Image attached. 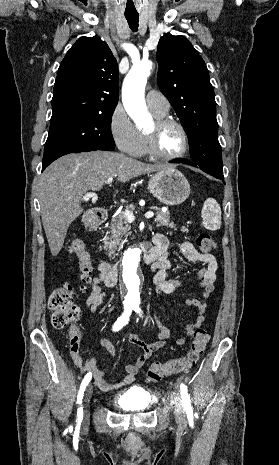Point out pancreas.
I'll return each mask as SVG.
<instances>
[{
    "label": "pancreas",
    "mask_w": 279,
    "mask_h": 465,
    "mask_svg": "<svg viewBox=\"0 0 279 465\" xmlns=\"http://www.w3.org/2000/svg\"><path fill=\"white\" fill-rule=\"evenodd\" d=\"M135 209L133 204L126 206L125 210L132 212ZM156 210V226H167L171 229L176 230V225L170 221V213L169 212H162L159 208L154 207ZM110 236H105L103 243H104V250L108 251L109 257H112L116 254L118 249H121L126 242L123 239L124 236H127L129 226L128 221L124 216V212L119 213L117 216L112 218L110 223ZM183 232H187L186 228L182 229Z\"/></svg>",
    "instance_id": "pancreas-1"
}]
</instances>
